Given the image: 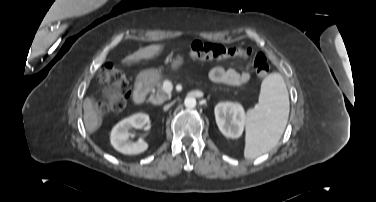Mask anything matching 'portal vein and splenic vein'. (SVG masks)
Wrapping results in <instances>:
<instances>
[{
  "instance_id": "portal-vein-and-splenic-vein-1",
  "label": "portal vein and splenic vein",
  "mask_w": 376,
  "mask_h": 202,
  "mask_svg": "<svg viewBox=\"0 0 376 202\" xmlns=\"http://www.w3.org/2000/svg\"><path fill=\"white\" fill-rule=\"evenodd\" d=\"M171 90H172V85H171V83L166 82V89H165V91L168 92V93H170Z\"/></svg>"
}]
</instances>
